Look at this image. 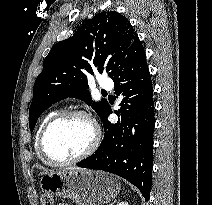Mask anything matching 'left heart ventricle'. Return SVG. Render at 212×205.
<instances>
[{"label":"left heart ventricle","instance_id":"obj_1","mask_svg":"<svg viewBox=\"0 0 212 205\" xmlns=\"http://www.w3.org/2000/svg\"><path fill=\"white\" fill-rule=\"evenodd\" d=\"M93 131L83 118L72 117L54 125L47 134L48 152L58 160H67L81 154L90 144Z\"/></svg>","mask_w":212,"mask_h":205}]
</instances>
